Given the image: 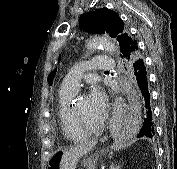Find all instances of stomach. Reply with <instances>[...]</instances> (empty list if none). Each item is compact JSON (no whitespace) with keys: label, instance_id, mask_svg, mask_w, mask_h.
Returning <instances> with one entry per match:
<instances>
[{"label":"stomach","instance_id":"0dacf381","mask_svg":"<svg viewBox=\"0 0 177 169\" xmlns=\"http://www.w3.org/2000/svg\"><path fill=\"white\" fill-rule=\"evenodd\" d=\"M104 153L102 150L100 153H96L92 156L85 157L83 159V164L86 169H96V164L98 163L99 157ZM62 153H56L50 160L48 164V169H60V160H61Z\"/></svg>","mask_w":177,"mask_h":169}]
</instances>
